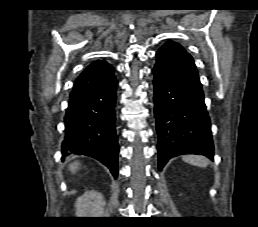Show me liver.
Returning a JSON list of instances; mask_svg holds the SVG:
<instances>
[{
    "mask_svg": "<svg viewBox=\"0 0 258 227\" xmlns=\"http://www.w3.org/2000/svg\"><path fill=\"white\" fill-rule=\"evenodd\" d=\"M78 168H79V163L78 162H74L73 164H71L69 166V169L72 173H75Z\"/></svg>",
    "mask_w": 258,
    "mask_h": 227,
    "instance_id": "obj_1",
    "label": "liver"
}]
</instances>
